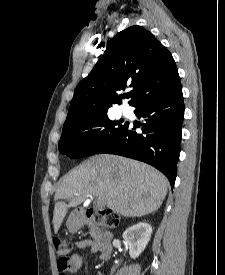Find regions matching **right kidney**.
<instances>
[{
    "label": "right kidney",
    "instance_id": "obj_1",
    "mask_svg": "<svg viewBox=\"0 0 225 275\" xmlns=\"http://www.w3.org/2000/svg\"><path fill=\"white\" fill-rule=\"evenodd\" d=\"M152 234V227L146 222L129 227L123 238L129 246V254L132 259L137 258L146 248Z\"/></svg>",
    "mask_w": 225,
    "mask_h": 275
}]
</instances>
